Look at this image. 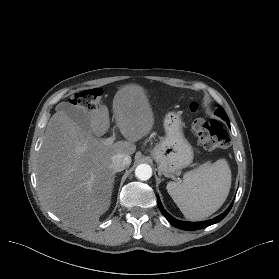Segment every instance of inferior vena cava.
<instances>
[{
  "instance_id": "obj_1",
  "label": "inferior vena cava",
  "mask_w": 279,
  "mask_h": 279,
  "mask_svg": "<svg viewBox=\"0 0 279 279\" xmlns=\"http://www.w3.org/2000/svg\"><path fill=\"white\" fill-rule=\"evenodd\" d=\"M131 163V157L127 154L117 153L111 157V167L115 172H120Z\"/></svg>"
}]
</instances>
